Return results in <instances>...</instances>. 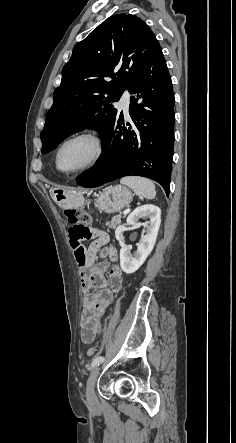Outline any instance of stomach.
Wrapping results in <instances>:
<instances>
[{
  "label": "stomach",
  "instance_id": "stomach-1",
  "mask_svg": "<svg viewBox=\"0 0 236 443\" xmlns=\"http://www.w3.org/2000/svg\"><path fill=\"white\" fill-rule=\"evenodd\" d=\"M53 200L61 207H79L84 199L79 192L54 188L52 190ZM132 192L122 185L109 186L98 196L97 208L108 214L121 211L132 201Z\"/></svg>",
  "mask_w": 236,
  "mask_h": 443
}]
</instances>
